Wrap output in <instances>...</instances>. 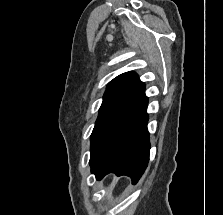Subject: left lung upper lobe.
I'll list each match as a JSON object with an SVG mask.
<instances>
[{
  "mask_svg": "<svg viewBox=\"0 0 223 215\" xmlns=\"http://www.w3.org/2000/svg\"><path fill=\"white\" fill-rule=\"evenodd\" d=\"M145 96L144 83L134 72L123 73L107 86L91 134L90 160L115 125Z\"/></svg>",
  "mask_w": 223,
  "mask_h": 215,
  "instance_id": "1",
  "label": "left lung upper lobe"
}]
</instances>
